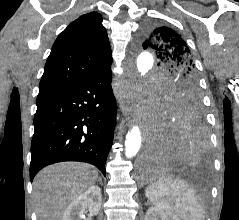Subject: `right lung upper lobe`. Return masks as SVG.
<instances>
[{"mask_svg": "<svg viewBox=\"0 0 239 220\" xmlns=\"http://www.w3.org/2000/svg\"><path fill=\"white\" fill-rule=\"evenodd\" d=\"M102 16L92 12L73 21L56 39L45 64L39 93L86 80L111 65Z\"/></svg>", "mask_w": 239, "mask_h": 220, "instance_id": "cb5924a9", "label": "right lung upper lobe"}]
</instances>
